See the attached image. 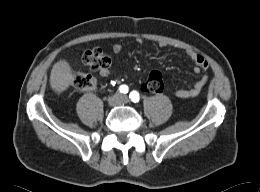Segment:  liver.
Instances as JSON below:
<instances>
[{
	"instance_id": "6515ba94",
	"label": "liver",
	"mask_w": 260,
	"mask_h": 192,
	"mask_svg": "<svg viewBox=\"0 0 260 192\" xmlns=\"http://www.w3.org/2000/svg\"><path fill=\"white\" fill-rule=\"evenodd\" d=\"M73 82V74L66 60L56 62L51 70L50 85L53 91L61 93L69 88Z\"/></svg>"
}]
</instances>
